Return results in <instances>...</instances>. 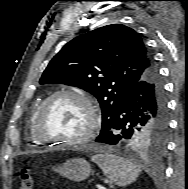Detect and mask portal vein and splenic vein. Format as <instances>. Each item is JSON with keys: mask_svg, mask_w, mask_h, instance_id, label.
I'll use <instances>...</instances> for the list:
<instances>
[{"mask_svg": "<svg viewBox=\"0 0 188 189\" xmlns=\"http://www.w3.org/2000/svg\"><path fill=\"white\" fill-rule=\"evenodd\" d=\"M98 189H105L103 186H97Z\"/></svg>", "mask_w": 188, "mask_h": 189, "instance_id": "1", "label": "portal vein and splenic vein"}]
</instances>
